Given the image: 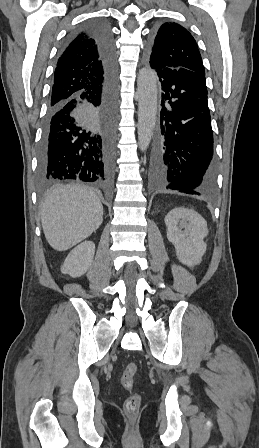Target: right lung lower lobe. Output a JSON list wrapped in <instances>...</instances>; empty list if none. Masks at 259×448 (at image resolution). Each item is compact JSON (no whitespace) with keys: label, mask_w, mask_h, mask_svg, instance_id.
I'll return each instance as SVG.
<instances>
[{"label":"right lung lower lobe","mask_w":259,"mask_h":448,"mask_svg":"<svg viewBox=\"0 0 259 448\" xmlns=\"http://www.w3.org/2000/svg\"><path fill=\"white\" fill-rule=\"evenodd\" d=\"M81 33L95 40L105 79L95 91L48 105L38 150V178L43 184L58 179L105 181L111 175L116 128L114 39L108 24L93 22L72 31L60 54Z\"/></svg>","instance_id":"1"}]
</instances>
